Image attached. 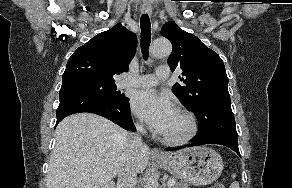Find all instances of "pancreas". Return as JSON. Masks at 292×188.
Instances as JSON below:
<instances>
[{"mask_svg":"<svg viewBox=\"0 0 292 188\" xmlns=\"http://www.w3.org/2000/svg\"><path fill=\"white\" fill-rule=\"evenodd\" d=\"M173 179V178H171ZM174 180V179H173ZM172 188H190L189 183L186 182H175Z\"/></svg>","mask_w":292,"mask_h":188,"instance_id":"pancreas-1","label":"pancreas"}]
</instances>
